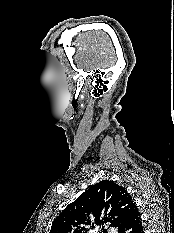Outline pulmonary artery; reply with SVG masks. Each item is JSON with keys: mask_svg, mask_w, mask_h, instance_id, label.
<instances>
[{"mask_svg": "<svg viewBox=\"0 0 174 233\" xmlns=\"http://www.w3.org/2000/svg\"><path fill=\"white\" fill-rule=\"evenodd\" d=\"M109 233H114V231H110Z\"/></svg>", "mask_w": 174, "mask_h": 233, "instance_id": "1", "label": "pulmonary artery"}]
</instances>
